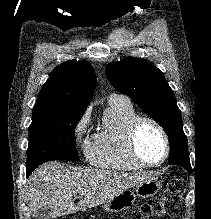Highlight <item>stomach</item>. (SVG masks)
Here are the masks:
<instances>
[{
    "mask_svg": "<svg viewBox=\"0 0 211 219\" xmlns=\"http://www.w3.org/2000/svg\"><path fill=\"white\" fill-rule=\"evenodd\" d=\"M162 187L160 181L155 176H150L145 181L136 185L134 191L125 190L108 200L104 204V210L110 213H117L128 209L135 202L136 197L149 198L157 194Z\"/></svg>",
    "mask_w": 211,
    "mask_h": 219,
    "instance_id": "0dacf381",
    "label": "stomach"
}]
</instances>
